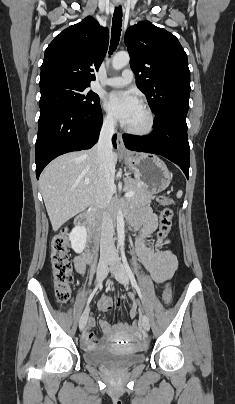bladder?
<instances>
[{
  "mask_svg": "<svg viewBox=\"0 0 235 404\" xmlns=\"http://www.w3.org/2000/svg\"><path fill=\"white\" fill-rule=\"evenodd\" d=\"M136 351L122 353L113 346L97 347L86 351L84 359L87 363L98 367L130 369L143 362L142 353Z\"/></svg>",
  "mask_w": 235,
  "mask_h": 404,
  "instance_id": "obj_1",
  "label": "bladder"
}]
</instances>
